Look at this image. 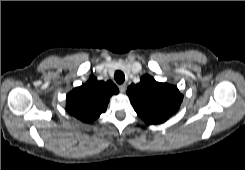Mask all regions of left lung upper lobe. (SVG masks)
Here are the masks:
<instances>
[{"label": "left lung upper lobe", "instance_id": "left-lung-upper-lobe-1", "mask_svg": "<svg viewBox=\"0 0 245 170\" xmlns=\"http://www.w3.org/2000/svg\"><path fill=\"white\" fill-rule=\"evenodd\" d=\"M127 95L138 116L147 124H160L176 113L183 100L178 88L167 83H159L145 75L140 83L131 84Z\"/></svg>", "mask_w": 245, "mask_h": 170}]
</instances>
